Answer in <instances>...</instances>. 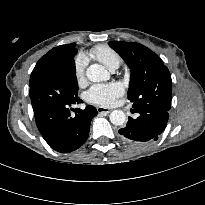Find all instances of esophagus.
<instances>
[{"label": "esophagus", "instance_id": "34e87169", "mask_svg": "<svg viewBox=\"0 0 205 205\" xmlns=\"http://www.w3.org/2000/svg\"><path fill=\"white\" fill-rule=\"evenodd\" d=\"M97 111L98 113H107V114L111 112V110L103 107H97Z\"/></svg>", "mask_w": 205, "mask_h": 205}]
</instances>
